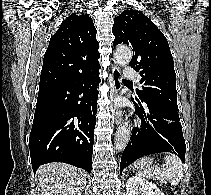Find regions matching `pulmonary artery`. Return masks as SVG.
<instances>
[{
  "label": "pulmonary artery",
  "mask_w": 211,
  "mask_h": 195,
  "mask_svg": "<svg viewBox=\"0 0 211 195\" xmlns=\"http://www.w3.org/2000/svg\"><path fill=\"white\" fill-rule=\"evenodd\" d=\"M125 76L127 78H130V79H133V80H136V81H139V75L138 73L135 71V69H133L132 67L130 66H127L125 68Z\"/></svg>",
  "instance_id": "e3ab8cb5"
}]
</instances>
